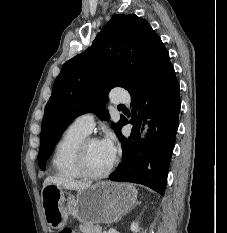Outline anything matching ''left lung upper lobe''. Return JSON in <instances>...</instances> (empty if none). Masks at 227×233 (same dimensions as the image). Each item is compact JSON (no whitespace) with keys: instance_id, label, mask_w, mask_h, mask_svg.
Here are the masks:
<instances>
[{"instance_id":"left-lung-upper-lobe-1","label":"left lung upper lobe","mask_w":227,"mask_h":233,"mask_svg":"<svg viewBox=\"0 0 227 233\" xmlns=\"http://www.w3.org/2000/svg\"><path fill=\"white\" fill-rule=\"evenodd\" d=\"M122 65L111 72L112 66ZM172 64L160 37L135 14L115 15L92 45L67 61L53 85L41 126L38 163L42 170L64 129L79 115L95 112L109 119L102 103L115 86L131 95L153 85ZM124 118L112 128L120 132Z\"/></svg>"}]
</instances>
